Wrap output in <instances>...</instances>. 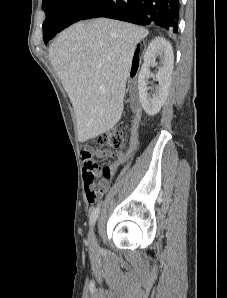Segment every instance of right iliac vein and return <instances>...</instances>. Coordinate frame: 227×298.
<instances>
[{"mask_svg": "<svg viewBox=\"0 0 227 298\" xmlns=\"http://www.w3.org/2000/svg\"><path fill=\"white\" fill-rule=\"evenodd\" d=\"M90 240H91V244L94 247L96 242H95V237H94V233L93 231L90 233Z\"/></svg>", "mask_w": 227, "mask_h": 298, "instance_id": "right-iliac-vein-1", "label": "right iliac vein"}]
</instances>
